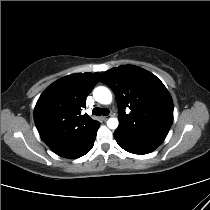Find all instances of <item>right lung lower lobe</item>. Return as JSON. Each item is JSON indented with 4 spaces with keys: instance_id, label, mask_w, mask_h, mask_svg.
Instances as JSON below:
<instances>
[{
    "instance_id": "right-lung-lower-lobe-1",
    "label": "right lung lower lobe",
    "mask_w": 210,
    "mask_h": 210,
    "mask_svg": "<svg viewBox=\"0 0 210 210\" xmlns=\"http://www.w3.org/2000/svg\"><path fill=\"white\" fill-rule=\"evenodd\" d=\"M96 133H97V130L88 139L79 143L74 148H72L70 151L64 153L61 156L65 157V158H69V159H75V158H78V157H81V156L85 155L93 147L94 141H95V138H96Z\"/></svg>"
}]
</instances>
